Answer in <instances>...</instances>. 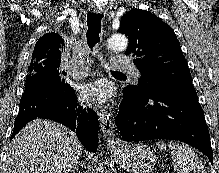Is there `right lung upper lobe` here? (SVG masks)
Segmentation results:
<instances>
[{
    "instance_id": "obj_1",
    "label": "right lung upper lobe",
    "mask_w": 219,
    "mask_h": 173,
    "mask_svg": "<svg viewBox=\"0 0 219 173\" xmlns=\"http://www.w3.org/2000/svg\"><path fill=\"white\" fill-rule=\"evenodd\" d=\"M64 40L57 33L43 35L36 43L30 64L43 62L61 63L64 56Z\"/></svg>"
}]
</instances>
